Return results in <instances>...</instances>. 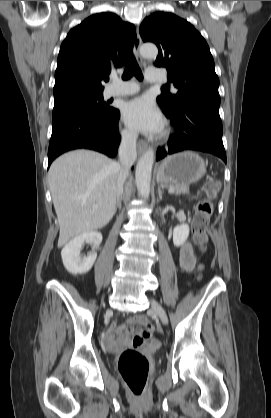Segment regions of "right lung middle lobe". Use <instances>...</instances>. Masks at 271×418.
I'll use <instances>...</instances> for the list:
<instances>
[{"mask_svg":"<svg viewBox=\"0 0 271 418\" xmlns=\"http://www.w3.org/2000/svg\"><path fill=\"white\" fill-rule=\"evenodd\" d=\"M108 103L103 101V93L91 95H78L55 101L52 121L90 112L113 111Z\"/></svg>","mask_w":271,"mask_h":418,"instance_id":"right-lung-middle-lobe-1","label":"right lung middle lobe"}]
</instances>
